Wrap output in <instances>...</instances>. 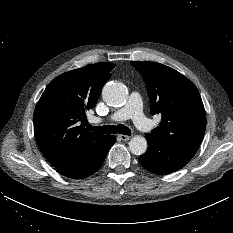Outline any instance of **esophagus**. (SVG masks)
I'll return each mask as SVG.
<instances>
[{
    "label": "esophagus",
    "instance_id": "obj_1",
    "mask_svg": "<svg viewBox=\"0 0 233 233\" xmlns=\"http://www.w3.org/2000/svg\"><path fill=\"white\" fill-rule=\"evenodd\" d=\"M119 139L122 140V141H127L130 139V136L128 135H123V134H120L118 135Z\"/></svg>",
    "mask_w": 233,
    "mask_h": 233
}]
</instances>
